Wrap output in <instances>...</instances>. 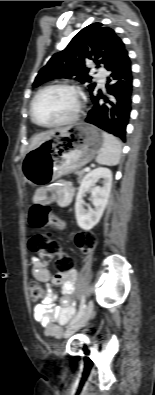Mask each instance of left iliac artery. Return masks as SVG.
<instances>
[{
    "mask_svg": "<svg viewBox=\"0 0 155 395\" xmlns=\"http://www.w3.org/2000/svg\"><path fill=\"white\" fill-rule=\"evenodd\" d=\"M85 307H86V305H85V297L82 296L80 307H79V311L77 312L75 317L71 320L70 325L75 323L83 315Z\"/></svg>",
    "mask_w": 155,
    "mask_h": 395,
    "instance_id": "44dca946",
    "label": "left iliac artery"
}]
</instances>
